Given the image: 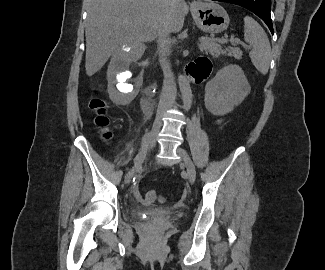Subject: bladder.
Here are the masks:
<instances>
[{
	"label": "bladder",
	"instance_id": "obj_1",
	"mask_svg": "<svg viewBox=\"0 0 325 270\" xmlns=\"http://www.w3.org/2000/svg\"><path fill=\"white\" fill-rule=\"evenodd\" d=\"M151 215L154 216H160V217H165V216H171L172 213L168 210H160V209H154L150 211Z\"/></svg>",
	"mask_w": 325,
	"mask_h": 270
}]
</instances>
